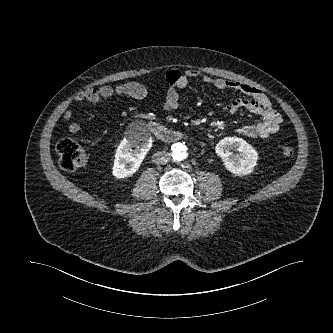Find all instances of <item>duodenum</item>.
I'll return each mask as SVG.
<instances>
[{"label":"duodenum","mask_w":333,"mask_h":333,"mask_svg":"<svg viewBox=\"0 0 333 333\" xmlns=\"http://www.w3.org/2000/svg\"><path fill=\"white\" fill-rule=\"evenodd\" d=\"M148 130L156 138L167 143H172L184 139V135L181 132L172 130L157 122H150L148 124Z\"/></svg>","instance_id":"duodenum-1"}]
</instances>
